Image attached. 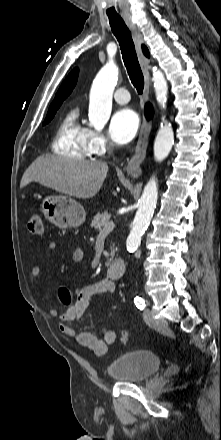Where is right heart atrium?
Listing matches in <instances>:
<instances>
[{
  "label": "right heart atrium",
  "instance_id": "d8ad5b80",
  "mask_svg": "<svg viewBox=\"0 0 221 440\" xmlns=\"http://www.w3.org/2000/svg\"><path fill=\"white\" fill-rule=\"evenodd\" d=\"M88 142L91 153L98 156L105 154L112 147L108 136L93 129H89Z\"/></svg>",
  "mask_w": 221,
  "mask_h": 440
}]
</instances>
